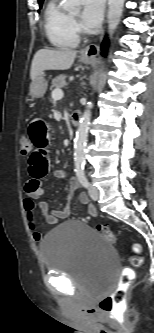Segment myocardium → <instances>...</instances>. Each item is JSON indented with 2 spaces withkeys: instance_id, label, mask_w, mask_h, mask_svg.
<instances>
[{
  "instance_id": "myocardium-1",
  "label": "myocardium",
  "mask_w": 154,
  "mask_h": 333,
  "mask_svg": "<svg viewBox=\"0 0 154 333\" xmlns=\"http://www.w3.org/2000/svg\"><path fill=\"white\" fill-rule=\"evenodd\" d=\"M71 19H72V20H75V18H74V17H71Z\"/></svg>"
}]
</instances>
